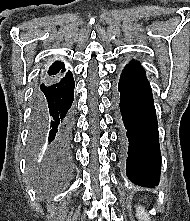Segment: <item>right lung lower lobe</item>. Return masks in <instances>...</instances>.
<instances>
[{
    "label": "right lung lower lobe",
    "mask_w": 190,
    "mask_h": 221,
    "mask_svg": "<svg viewBox=\"0 0 190 221\" xmlns=\"http://www.w3.org/2000/svg\"><path fill=\"white\" fill-rule=\"evenodd\" d=\"M74 87L70 72L43 80L35 91L30 147L34 155L44 153L43 170H61L70 164Z\"/></svg>",
    "instance_id": "98d812e1"
}]
</instances>
